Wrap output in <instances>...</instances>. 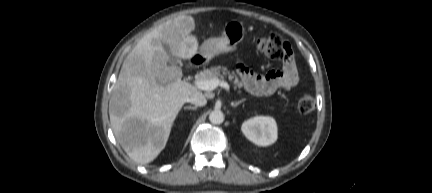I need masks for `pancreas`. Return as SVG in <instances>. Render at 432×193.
Listing matches in <instances>:
<instances>
[{
    "mask_svg": "<svg viewBox=\"0 0 432 193\" xmlns=\"http://www.w3.org/2000/svg\"><path fill=\"white\" fill-rule=\"evenodd\" d=\"M228 76L229 80H233L235 87H241L242 83L237 78L235 72L230 73L226 67L216 66L210 69H205L196 75V79L201 80H210V79H220L223 80Z\"/></svg>",
    "mask_w": 432,
    "mask_h": 193,
    "instance_id": "pancreas-1",
    "label": "pancreas"
}]
</instances>
